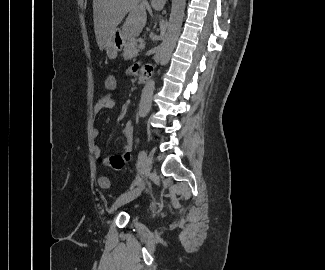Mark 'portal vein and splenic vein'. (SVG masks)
<instances>
[{
	"label": "portal vein and splenic vein",
	"mask_w": 325,
	"mask_h": 270,
	"mask_svg": "<svg viewBox=\"0 0 325 270\" xmlns=\"http://www.w3.org/2000/svg\"><path fill=\"white\" fill-rule=\"evenodd\" d=\"M145 48V45L144 44H140L139 45V49H144Z\"/></svg>",
	"instance_id": "portal-vein-and-splenic-vein-1"
}]
</instances>
